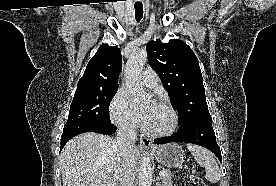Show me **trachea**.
Wrapping results in <instances>:
<instances>
[{
  "mask_svg": "<svg viewBox=\"0 0 276 186\" xmlns=\"http://www.w3.org/2000/svg\"><path fill=\"white\" fill-rule=\"evenodd\" d=\"M134 8H135V19L137 22H140V20L143 17V4L141 2H135Z\"/></svg>",
  "mask_w": 276,
  "mask_h": 186,
  "instance_id": "1",
  "label": "trachea"
}]
</instances>
